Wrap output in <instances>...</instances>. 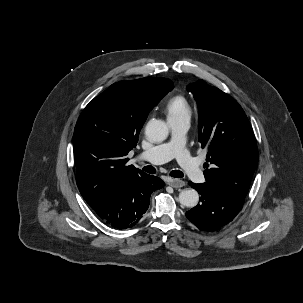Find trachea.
Masks as SVG:
<instances>
[{
    "instance_id": "1",
    "label": "trachea",
    "mask_w": 303,
    "mask_h": 303,
    "mask_svg": "<svg viewBox=\"0 0 303 303\" xmlns=\"http://www.w3.org/2000/svg\"><path fill=\"white\" fill-rule=\"evenodd\" d=\"M143 170L147 173L150 174H155L156 170L153 166H145L143 168ZM183 173L180 170H173L170 172V176L174 177V178H182L183 177Z\"/></svg>"
}]
</instances>
